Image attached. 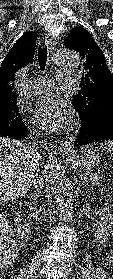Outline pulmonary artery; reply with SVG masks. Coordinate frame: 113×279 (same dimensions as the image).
I'll use <instances>...</instances> for the list:
<instances>
[{
    "mask_svg": "<svg viewBox=\"0 0 113 279\" xmlns=\"http://www.w3.org/2000/svg\"><path fill=\"white\" fill-rule=\"evenodd\" d=\"M59 78L67 84H76L78 82V77L72 73L67 72L59 76ZM53 81L50 79L39 78L31 86V89L35 93H43L50 90L53 87Z\"/></svg>",
    "mask_w": 113,
    "mask_h": 279,
    "instance_id": "pulmonary-artery-1",
    "label": "pulmonary artery"
}]
</instances>
